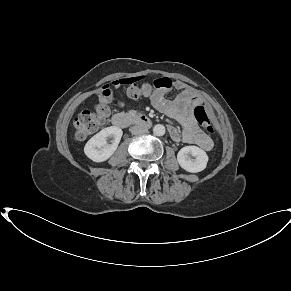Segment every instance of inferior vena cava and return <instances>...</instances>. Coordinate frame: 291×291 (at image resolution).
<instances>
[{
    "label": "inferior vena cava",
    "mask_w": 291,
    "mask_h": 291,
    "mask_svg": "<svg viewBox=\"0 0 291 291\" xmlns=\"http://www.w3.org/2000/svg\"><path fill=\"white\" fill-rule=\"evenodd\" d=\"M131 133L134 135L144 134L148 132V129L142 126H133L130 129Z\"/></svg>",
    "instance_id": "inferior-vena-cava-1"
}]
</instances>
